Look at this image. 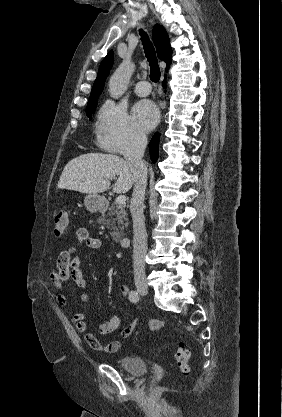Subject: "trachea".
<instances>
[{"mask_svg": "<svg viewBox=\"0 0 282 417\" xmlns=\"http://www.w3.org/2000/svg\"><path fill=\"white\" fill-rule=\"evenodd\" d=\"M139 33L141 35V40L144 46L145 55L150 65V80H152V82H159L161 72H160L158 62H157V57H156V52L154 50V47L148 35L146 34V32H144L143 30H140Z\"/></svg>", "mask_w": 282, "mask_h": 417, "instance_id": "3493384b", "label": "trachea"}]
</instances>
